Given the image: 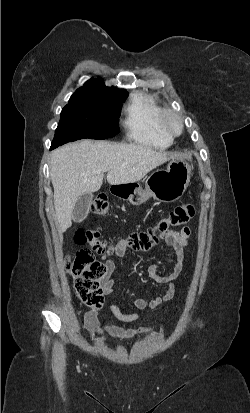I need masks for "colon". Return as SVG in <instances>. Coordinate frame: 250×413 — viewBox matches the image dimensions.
Instances as JSON below:
<instances>
[{
    "instance_id": "1",
    "label": "colon",
    "mask_w": 250,
    "mask_h": 413,
    "mask_svg": "<svg viewBox=\"0 0 250 413\" xmlns=\"http://www.w3.org/2000/svg\"><path fill=\"white\" fill-rule=\"evenodd\" d=\"M91 211L98 216L106 215L109 212L107 198L102 195L97 196L91 204ZM194 214L193 205L187 203L176 207L154 226L145 231L133 232L116 244H108L102 240L96 229H79L76 232L75 241L78 244L88 242L97 254L109 253L115 247L123 250L130 248L135 251H148L164 238L160 235L161 231L186 224ZM66 270L73 278L74 287L81 302L90 308H99L103 301L100 280L106 272L105 266L94 259L91 251L81 250L73 259L66 260Z\"/></svg>"
}]
</instances>
